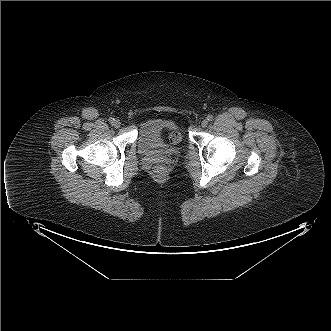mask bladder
<instances>
[{"label": "bladder", "instance_id": "1", "mask_svg": "<svg viewBox=\"0 0 331 331\" xmlns=\"http://www.w3.org/2000/svg\"><path fill=\"white\" fill-rule=\"evenodd\" d=\"M176 138L172 141L170 136ZM184 145L177 124L170 119H154L145 122L138 133L137 147L140 155L148 158L172 157Z\"/></svg>", "mask_w": 331, "mask_h": 331}]
</instances>
